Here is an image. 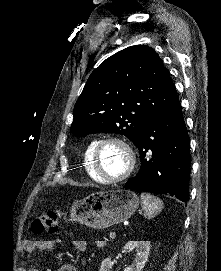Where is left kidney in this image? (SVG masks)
Returning <instances> with one entry per match:
<instances>
[{
  "mask_svg": "<svg viewBox=\"0 0 221 271\" xmlns=\"http://www.w3.org/2000/svg\"><path fill=\"white\" fill-rule=\"evenodd\" d=\"M130 249H135L136 255L131 265L124 267V271H142L150 253V241H127L122 251H130ZM113 263L111 257H105L100 265V271H111Z\"/></svg>",
  "mask_w": 221,
  "mask_h": 271,
  "instance_id": "left-kidney-1",
  "label": "left kidney"
}]
</instances>
